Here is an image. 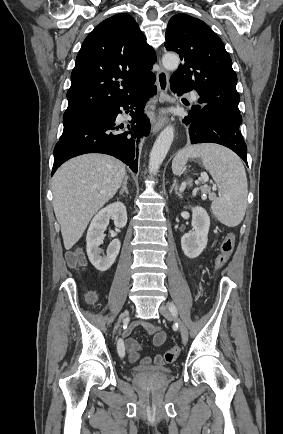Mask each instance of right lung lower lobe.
<instances>
[{
  "label": "right lung lower lobe",
  "mask_w": 283,
  "mask_h": 434,
  "mask_svg": "<svg viewBox=\"0 0 283 434\" xmlns=\"http://www.w3.org/2000/svg\"><path fill=\"white\" fill-rule=\"evenodd\" d=\"M155 80L153 74L142 81L130 95L103 111L65 124L54 148L52 175L68 159L86 153L112 155L136 173L140 139L150 132V122L143 113V105L156 94ZM120 108L130 113V125L115 123L117 115L122 113Z\"/></svg>",
  "instance_id": "98d812e1"
}]
</instances>
